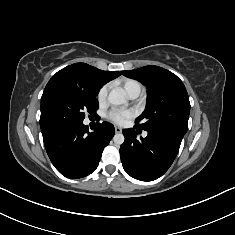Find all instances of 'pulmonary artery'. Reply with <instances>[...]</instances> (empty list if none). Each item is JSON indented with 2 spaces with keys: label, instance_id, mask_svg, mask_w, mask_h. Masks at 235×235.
I'll return each mask as SVG.
<instances>
[{
  "label": "pulmonary artery",
  "instance_id": "1",
  "mask_svg": "<svg viewBox=\"0 0 235 235\" xmlns=\"http://www.w3.org/2000/svg\"><path fill=\"white\" fill-rule=\"evenodd\" d=\"M140 94V91L139 90H134V91H131L130 93H128V96L130 99H136ZM143 136H147V132H144L143 133Z\"/></svg>",
  "mask_w": 235,
  "mask_h": 235
}]
</instances>
